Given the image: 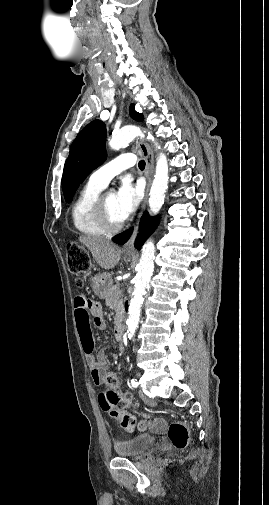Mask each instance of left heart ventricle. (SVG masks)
<instances>
[{"mask_svg":"<svg viewBox=\"0 0 269 505\" xmlns=\"http://www.w3.org/2000/svg\"><path fill=\"white\" fill-rule=\"evenodd\" d=\"M104 204L108 213V216L110 220L113 223H120L122 222L121 218L117 214L116 211V203H115V195L114 194H107L104 197Z\"/></svg>","mask_w":269,"mask_h":505,"instance_id":"b2bd125f","label":"left heart ventricle"}]
</instances>
